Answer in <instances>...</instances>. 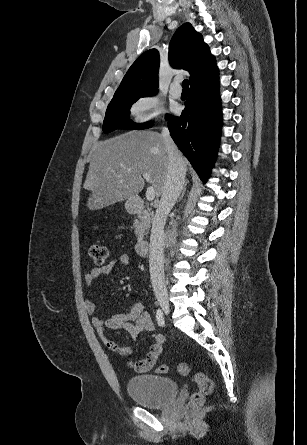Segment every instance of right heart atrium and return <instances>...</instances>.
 Segmentation results:
<instances>
[{
	"label": "right heart atrium",
	"instance_id": "1",
	"mask_svg": "<svg viewBox=\"0 0 307 445\" xmlns=\"http://www.w3.org/2000/svg\"><path fill=\"white\" fill-rule=\"evenodd\" d=\"M137 113L134 120L138 124H149L156 121L163 111L162 100L151 92L142 96L137 102Z\"/></svg>",
	"mask_w": 307,
	"mask_h": 445
}]
</instances>
